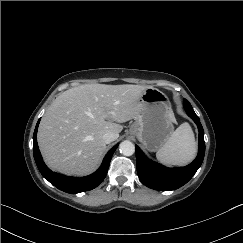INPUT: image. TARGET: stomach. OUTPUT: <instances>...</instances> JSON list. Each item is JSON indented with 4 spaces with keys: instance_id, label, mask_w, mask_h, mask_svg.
Here are the masks:
<instances>
[{
    "instance_id": "0dacf381",
    "label": "stomach",
    "mask_w": 243,
    "mask_h": 243,
    "mask_svg": "<svg viewBox=\"0 0 243 243\" xmlns=\"http://www.w3.org/2000/svg\"><path fill=\"white\" fill-rule=\"evenodd\" d=\"M140 110L129 133L149 151L161 148L173 133V111L167 95L157 88L147 87L140 95Z\"/></svg>"
}]
</instances>
